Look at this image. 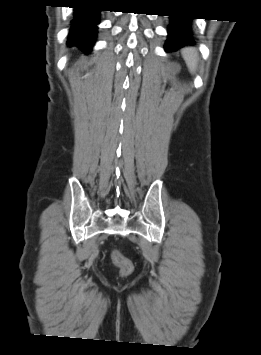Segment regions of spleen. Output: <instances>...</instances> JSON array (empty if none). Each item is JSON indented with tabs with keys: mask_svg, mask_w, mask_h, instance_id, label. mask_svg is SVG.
<instances>
[{
	"mask_svg": "<svg viewBox=\"0 0 261 355\" xmlns=\"http://www.w3.org/2000/svg\"><path fill=\"white\" fill-rule=\"evenodd\" d=\"M181 54L186 62V65L190 73H194L198 63V52L193 47H187L182 49Z\"/></svg>",
	"mask_w": 261,
	"mask_h": 355,
	"instance_id": "1",
	"label": "spleen"
}]
</instances>
